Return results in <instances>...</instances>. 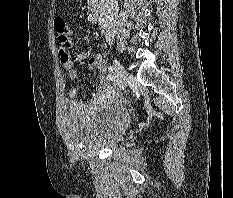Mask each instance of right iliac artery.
<instances>
[{"mask_svg":"<svg viewBox=\"0 0 233 198\" xmlns=\"http://www.w3.org/2000/svg\"><path fill=\"white\" fill-rule=\"evenodd\" d=\"M110 70H111V73L108 74L107 78H108L110 81H113V80H115L116 77L112 74L113 69L111 68Z\"/></svg>","mask_w":233,"mask_h":198,"instance_id":"82829eb1","label":"right iliac artery"}]
</instances>
